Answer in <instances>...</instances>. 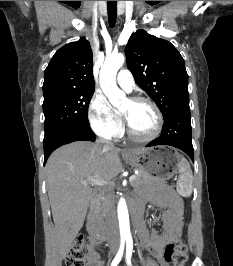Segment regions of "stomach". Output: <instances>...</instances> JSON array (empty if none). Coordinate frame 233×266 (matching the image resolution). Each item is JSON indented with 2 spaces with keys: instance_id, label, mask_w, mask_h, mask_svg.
Segmentation results:
<instances>
[{
  "instance_id": "1",
  "label": "stomach",
  "mask_w": 233,
  "mask_h": 266,
  "mask_svg": "<svg viewBox=\"0 0 233 266\" xmlns=\"http://www.w3.org/2000/svg\"><path fill=\"white\" fill-rule=\"evenodd\" d=\"M178 151V147H151L141 153H128L125 160L139 171L156 176V180H172L174 169L183 161Z\"/></svg>"
}]
</instances>
